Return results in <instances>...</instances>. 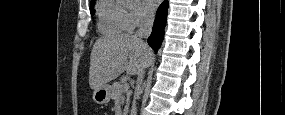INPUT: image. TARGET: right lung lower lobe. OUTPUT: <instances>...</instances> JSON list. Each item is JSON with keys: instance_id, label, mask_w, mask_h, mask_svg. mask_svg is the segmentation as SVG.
Returning <instances> with one entry per match:
<instances>
[{"instance_id": "right-lung-lower-lobe-1", "label": "right lung lower lobe", "mask_w": 285, "mask_h": 115, "mask_svg": "<svg viewBox=\"0 0 285 115\" xmlns=\"http://www.w3.org/2000/svg\"><path fill=\"white\" fill-rule=\"evenodd\" d=\"M168 7V0H165L158 8L153 30L148 38V44L153 48L155 52H157V50L160 48L163 40Z\"/></svg>"}]
</instances>
